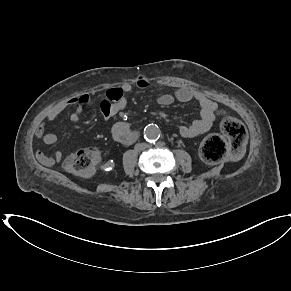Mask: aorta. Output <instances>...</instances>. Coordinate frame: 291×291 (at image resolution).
Instances as JSON below:
<instances>
[{
  "label": "aorta",
  "mask_w": 291,
  "mask_h": 291,
  "mask_svg": "<svg viewBox=\"0 0 291 291\" xmlns=\"http://www.w3.org/2000/svg\"><path fill=\"white\" fill-rule=\"evenodd\" d=\"M160 137V129L155 124H149L144 129V138L148 142L156 141Z\"/></svg>",
  "instance_id": "1"
}]
</instances>
